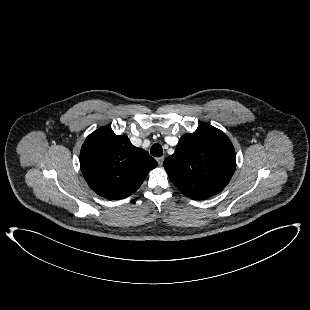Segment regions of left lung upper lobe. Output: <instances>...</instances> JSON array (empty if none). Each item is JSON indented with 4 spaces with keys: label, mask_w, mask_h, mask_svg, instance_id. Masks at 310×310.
Returning <instances> with one entry per match:
<instances>
[{
    "label": "left lung upper lobe",
    "mask_w": 310,
    "mask_h": 310,
    "mask_svg": "<svg viewBox=\"0 0 310 310\" xmlns=\"http://www.w3.org/2000/svg\"><path fill=\"white\" fill-rule=\"evenodd\" d=\"M163 166L173 184L187 197L204 200L221 192L236 167L230 139L219 129L201 124L183 135Z\"/></svg>",
    "instance_id": "obj_1"
}]
</instances>
